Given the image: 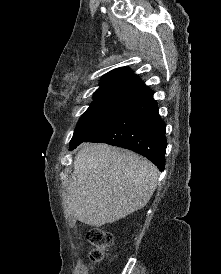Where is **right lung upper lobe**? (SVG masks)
<instances>
[{"mask_svg":"<svg viewBox=\"0 0 221 274\" xmlns=\"http://www.w3.org/2000/svg\"><path fill=\"white\" fill-rule=\"evenodd\" d=\"M150 92L133 72L125 67L114 69L101 78L94 99H125L135 101Z\"/></svg>","mask_w":221,"mask_h":274,"instance_id":"cb5924a9","label":"right lung upper lobe"}]
</instances>
